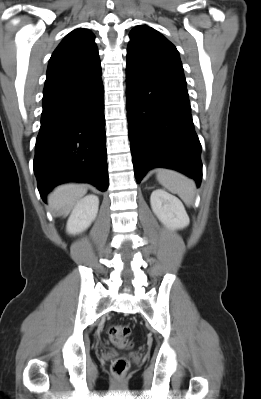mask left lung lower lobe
Here are the masks:
<instances>
[{
  "mask_svg": "<svg viewBox=\"0 0 261 399\" xmlns=\"http://www.w3.org/2000/svg\"><path fill=\"white\" fill-rule=\"evenodd\" d=\"M126 104L133 165L139 183L155 167L180 171L200 186L201 145L186 85L126 69Z\"/></svg>",
  "mask_w": 261,
  "mask_h": 399,
  "instance_id": "0a47b994",
  "label": "left lung lower lobe"
}]
</instances>
